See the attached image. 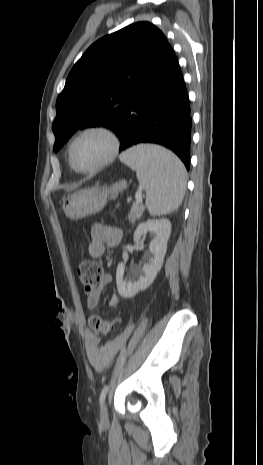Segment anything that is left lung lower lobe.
Instances as JSON below:
<instances>
[{
	"label": "left lung lower lobe",
	"instance_id": "left-lung-lower-lobe-1",
	"mask_svg": "<svg viewBox=\"0 0 263 465\" xmlns=\"http://www.w3.org/2000/svg\"><path fill=\"white\" fill-rule=\"evenodd\" d=\"M189 99L177 58L168 44L132 90V100L117 135L119 151L156 143L175 152L190 168Z\"/></svg>",
	"mask_w": 263,
	"mask_h": 465
}]
</instances>
